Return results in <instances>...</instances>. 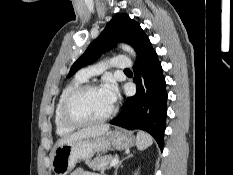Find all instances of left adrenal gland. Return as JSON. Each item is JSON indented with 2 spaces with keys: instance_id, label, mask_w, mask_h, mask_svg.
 Wrapping results in <instances>:
<instances>
[{
  "instance_id": "obj_1",
  "label": "left adrenal gland",
  "mask_w": 233,
  "mask_h": 175,
  "mask_svg": "<svg viewBox=\"0 0 233 175\" xmlns=\"http://www.w3.org/2000/svg\"><path fill=\"white\" fill-rule=\"evenodd\" d=\"M133 157V154H129L127 157H125L124 159H122L119 164L116 166L115 168V171H114V175H117V172H118V168L122 165V162L128 158H131Z\"/></svg>"
}]
</instances>
